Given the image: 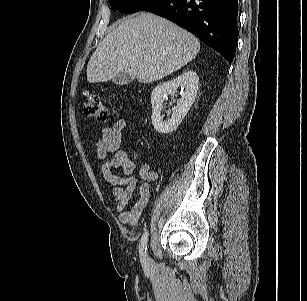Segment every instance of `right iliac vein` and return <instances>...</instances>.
Listing matches in <instances>:
<instances>
[{"label": "right iliac vein", "mask_w": 307, "mask_h": 301, "mask_svg": "<svg viewBox=\"0 0 307 301\" xmlns=\"http://www.w3.org/2000/svg\"><path fill=\"white\" fill-rule=\"evenodd\" d=\"M148 262L151 264V263H152V260H149Z\"/></svg>", "instance_id": "obj_1"}]
</instances>
